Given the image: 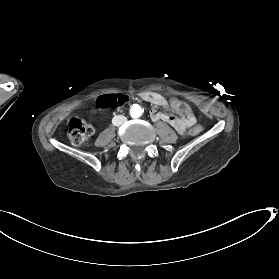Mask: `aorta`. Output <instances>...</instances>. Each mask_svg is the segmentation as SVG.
Segmentation results:
<instances>
[{"label": "aorta", "instance_id": "1", "mask_svg": "<svg viewBox=\"0 0 279 279\" xmlns=\"http://www.w3.org/2000/svg\"><path fill=\"white\" fill-rule=\"evenodd\" d=\"M130 114L133 118H138L142 114V108L138 104H135L131 107Z\"/></svg>", "mask_w": 279, "mask_h": 279}]
</instances>
